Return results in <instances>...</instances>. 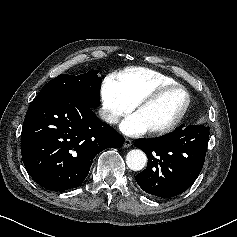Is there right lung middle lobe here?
I'll use <instances>...</instances> for the list:
<instances>
[{
    "label": "right lung middle lobe",
    "instance_id": "dd1d6c3e",
    "mask_svg": "<svg viewBox=\"0 0 237 237\" xmlns=\"http://www.w3.org/2000/svg\"><path fill=\"white\" fill-rule=\"evenodd\" d=\"M98 70L78 76L60 74L46 83L40 92L63 93L73 96L91 108L100 105L101 77Z\"/></svg>",
    "mask_w": 237,
    "mask_h": 237
}]
</instances>
